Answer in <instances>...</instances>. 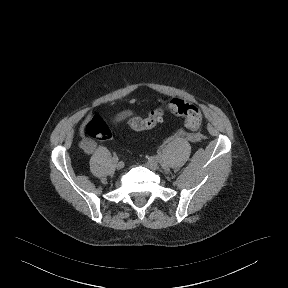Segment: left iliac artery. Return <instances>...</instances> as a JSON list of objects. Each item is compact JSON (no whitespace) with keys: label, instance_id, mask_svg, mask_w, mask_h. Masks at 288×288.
<instances>
[{"label":"left iliac artery","instance_id":"left-iliac-artery-1","mask_svg":"<svg viewBox=\"0 0 288 288\" xmlns=\"http://www.w3.org/2000/svg\"><path fill=\"white\" fill-rule=\"evenodd\" d=\"M155 158L158 160L160 158V155L159 154L156 155Z\"/></svg>","mask_w":288,"mask_h":288}]
</instances>
